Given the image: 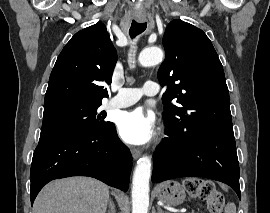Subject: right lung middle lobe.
I'll use <instances>...</instances> for the list:
<instances>
[{"instance_id": "obj_1", "label": "right lung middle lobe", "mask_w": 270, "mask_h": 213, "mask_svg": "<svg viewBox=\"0 0 270 213\" xmlns=\"http://www.w3.org/2000/svg\"><path fill=\"white\" fill-rule=\"evenodd\" d=\"M102 103L61 101L44 106L42 129H56L77 133H98L111 122L104 121L105 112H98Z\"/></svg>"}]
</instances>
